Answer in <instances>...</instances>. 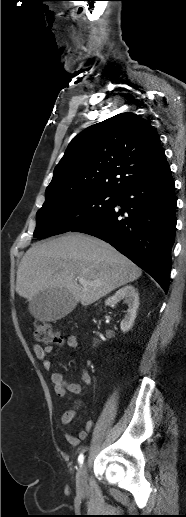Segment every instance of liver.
Instances as JSON below:
<instances>
[{
	"label": "liver",
	"instance_id": "liver-1",
	"mask_svg": "<svg viewBox=\"0 0 186 517\" xmlns=\"http://www.w3.org/2000/svg\"><path fill=\"white\" fill-rule=\"evenodd\" d=\"M141 274L136 264L110 244L69 233L28 249L18 267L16 292L31 301L40 292L59 289L86 306ZM78 277L89 283H78Z\"/></svg>",
	"mask_w": 186,
	"mask_h": 517
}]
</instances>
